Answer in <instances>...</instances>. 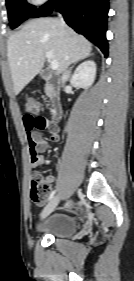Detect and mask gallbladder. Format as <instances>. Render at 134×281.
Returning <instances> with one entry per match:
<instances>
[{
  "mask_svg": "<svg viewBox=\"0 0 134 281\" xmlns=\"http://www.w3.org/2000/svg\"><path fill=\"white\" fill-rule=\"evenodd\" d=\"M41 77L45 79V78L48 77V74L46 72H44V73L41 74Z\"/></svg>",
  "mask_w": 134,
  "mask_h": 281,
  "instance_id": "obj_1",
  "label": "gallbladder"
}]
</instances>
